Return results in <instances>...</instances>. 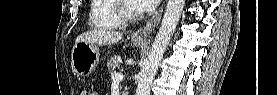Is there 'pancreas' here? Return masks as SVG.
I'll return each mask as SVG.
<instances>
[{
  "instance_id": "1",
  "label": "pancreas",
  "mask_w": 277,
  "mask_h": 95,
  "mask_svg": "<svg viewBox=\"0 0 277 95\" xmlns=\"http://www.w3.org/2000/svg\"><path fill=\"white\" fill-rule=\"evenodd\" d=\"M119 60H120V56H112L108 62H107V68L110 72V74L114 73L115 72V69L117 67H119Z\"/></svg>"
}]
</instances>
